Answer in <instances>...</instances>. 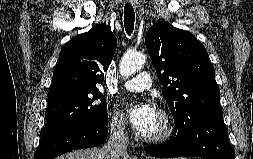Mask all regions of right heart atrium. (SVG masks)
<instances>
[{"label":"right heart atrium","mask_w":253,"mask_h":159,"mask_svg":"<svg viewBox=\"0 0 253 159\" xmlns=\"http://www.w3.org/2000/svg\"><path fill=\"white\" fill-rule=\"evenodd\" d=\"M109 128L117 136L123 137L127 134V124L124 117L114 111L109 117Z\"/></svg>","instance_id":"obj_1"}]
</instances>
